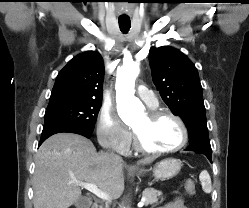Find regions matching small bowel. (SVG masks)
I'll list each match as a JSON object with an SVG mask.
<instances>
[{
    "mask_svg": "<svg viewBox=\"0 0 249 208\" xmlns=\"http://www.w3.org/2000/svg\"><path fill=\"white\" fill-rule=\"evenodd\" d=\"M159 208H187V207L184 205L182 199L176 198L174 201L169 202L163 207H159Z\"/></svg>",
    "mask_w": 249,
    "mask_h": 208,
    "instance_id": "c3829d8e",
    "label": "small bowel"
}]
</instances>
